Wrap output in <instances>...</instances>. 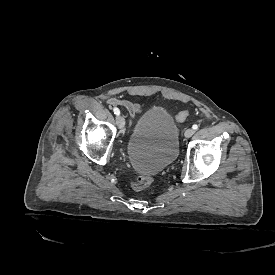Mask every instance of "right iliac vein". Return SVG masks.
<instances>
[{
    "label": "right iliac vein",
    "instance_id": "right-iliac-vein-1",
    "mask_svg": "<svg viewBox=\"0 0 275 275\" xmlns=\"http://www.w3.org/2000/svg\"><path fill=\"white\" fill-rule=\"evenodd\" d=\"M116 123H117V125H118V127H119L120 129H123L124 126H125V120H124V118L121 117V116H118V117L116 118Z\"/></svg>",
    "mask_w": 275,
    "mask_h": 275
}]
</instances>
